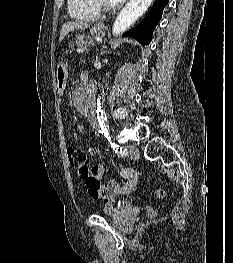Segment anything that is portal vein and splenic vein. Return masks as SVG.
<instances>
[{"instance_id":"portal-vein-and-splenic-vein-1","label":"portal vein and splenic vein","mask_w":233,"mask_h":263,"mask_svg":"<svg viewBox=\"0 0 233 263\" xmlns=\"http://www.w3.org/2000/svg\"><path fill=\"white\" fill-rule=\"evenodd\" d=\"M77 52L82 53V52H84V49L79 48V49L77 50Z\"/></svg>"}]
</instances>
